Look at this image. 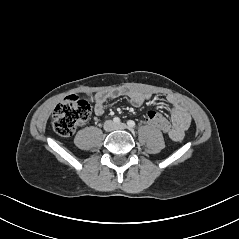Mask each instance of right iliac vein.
<instances>
[{
    "instance_id": "obj_1",
    "label": "right iliac vein",
    "mask_w": 239,
    "mask_h": 239,
    "mask_svg": "<svg viewBox=\"0 0 239 239\" xmlns=\"http://www.w3.org/2000/svg\"><path fill=\"white\" fill-rule=\"evenodd\" d=\"M105 127H106L107 130H113L114 129V125H113L112 122H108Z\"/></svg>"
}]
</instances>
